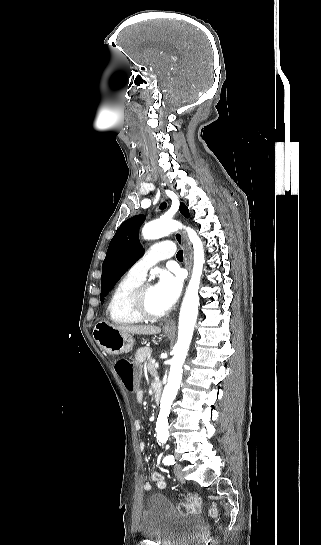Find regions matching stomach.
<instances>
[{
  "instance_id": "1",
  "label": "stomach",
  "mask_w": 321,
  "mask_h": 545,
  "mask_svg": "<svg viewBox=\"0 0 321 545\" xmlns=\"http://www.w3.org/2000/svg\"><path fill=\"white\" fill-rule=\"evenodd\" d=\"M164 333L166 335H171L169 329H165ZM93 339L96 341L98 347L109 353V355H123V353H128L133 349L135 343L132 335H124L120 333L117 329H114L110 323L106 321H99L96 323L93 329Z\"/></svg>"
}]
</instances>
